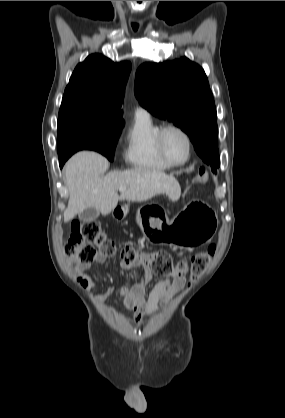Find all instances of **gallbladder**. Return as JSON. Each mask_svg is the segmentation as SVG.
I'll return each mask as SVG.
<instances>
[{"instance_id": "bac80fb5", "label": "gallbladder", "mask_w": 285, "mask_h": 418, "mask_svg": "<svg viewBox=\"0 0 285 418\" xmlns=\"http://www.w3.org/2000/svg\"><path fill=\"white\" fill-rule=\"evenodd\" d=\"M99 216V211L94 207L86 208L83 212L79 214L80 220L88 222L96 219Z\"/></svg>"}]
</instances>
